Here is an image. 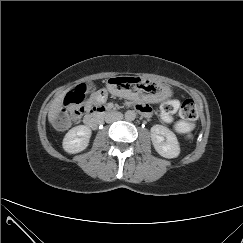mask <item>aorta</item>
Masks as SVG:
<instances>
[{"label":"aorta","instance_id":"aorta-1","mask_svg":"<svg viewBox=\"0 0 243 243\" xmlns=\"http://www.w3.org/2000/svg\"><path fill=\"white\" fill-rule=\"evenodd\" d=\"M136 118V113L134 110H128L125 112V119L127 121H133Z\"/></svg>","mask_w":243,"mask_h":243}]
</instances>
